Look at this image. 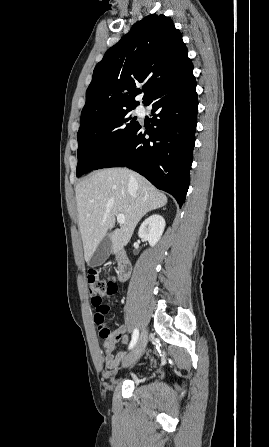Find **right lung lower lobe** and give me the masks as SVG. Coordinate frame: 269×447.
I'll use <instances>...</instances> for the list:
<instances>
[{
  "label": "right lung lower lobe",
  "mask_w": 269,
  "mask_h": 447,
  "mask_svg": "<svg viewBox=\"0 0 269 447\" xmlns=\"http://www.w3.org/2000/svg\"><path fill=\"white\" fill-rule=\"evenodd\" d=\"M144 103L154 108L150 129L139 125L94 170L128 167L170 193L181 207L189 187L198 112L192 62Z\"/></svg>",
  "instance_id": "98d812e1"
}]
</instances>
